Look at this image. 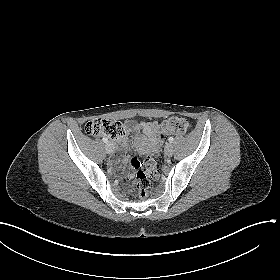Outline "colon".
<instances>
[{
    "mask_svg": "<svg viewBox=\"0 0 280 280\" xmlns=\"http://www.w3.org/2000/svg\"><path fill=\"white\" fill-rule=\"evenodd\" d=\"M189 123L181 117H171L165 120L160 131L162 133L184 134L188 131ZM88 135L109 136L115 138L123 133V126L120 122L111 121L103 118L93 119L85 125ZM133 169L128 175V179L135 183L139 198L145 199L148 195L149 177H157L155 160L150 156H144L142 162L132 161Z\"/></svg>",
    "mask_w": 280,
    "mask_h": 280,
    "instance_id": "colon-1",
    "label": "colon"
}]
</instances>
